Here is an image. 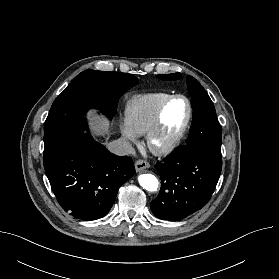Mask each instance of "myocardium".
<instances>
[{
  "label": "myocardium",
  "mask_w": 279,
  "mask_h": 279,
  "mask_svg": "<svg viewBox=\"0 0 279 279\" xmlns=\"http://www.w3.org/2000/svg\"><path fill=\"white\" fill-rule=\"evenodd\" d=\"M176 99H182L186 102L187 105L186 119L182 127L174 135H172L170 138H168L163 142H159L158 137L162 129L163 115L165 109L172 101ZM192 114H193L192 104L187 96L182 94H175L167 98L158 109L155 120L151 125V127L149 128V130L147 131L146 142L149 150L156 155H166L172 152L179 145V143L185 136L189 128V125L191 123Z\"/></svg>",
  "instance_id": "f54148a6"
}]
</instances>
